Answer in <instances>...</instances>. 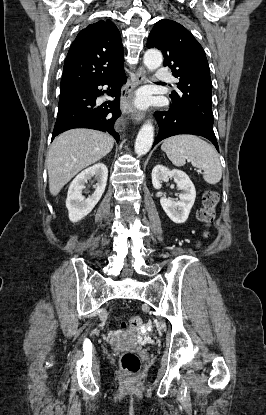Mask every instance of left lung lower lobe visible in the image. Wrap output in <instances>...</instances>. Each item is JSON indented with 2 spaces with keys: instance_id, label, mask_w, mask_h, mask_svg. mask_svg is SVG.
<instances>
[{
  "instance_id": "0a47b994",
  "label": "left lung lower lobe",
  "mask_w": 266,
  "mask_h": 415,
  "mask_svg": "<svg viewBox=\"0 0 266 415\" xmlns=\"http://www.w3.org/2000/svg\"><path fill=\"white\" fill-rule=\"evenodd\" d=\"M155 117L159 126V134L156 137L153 146L170 136L193 134L210 140L219 151L214 131L197 121L185 117L176 106L170 105L168 111H157Z\"/></svg>"
}]
</instances>
